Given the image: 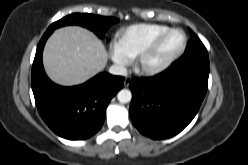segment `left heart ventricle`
Segmentation results:
<instances>
[{"mask_svg": "<svg viewBox=\"0 0 248 165\" xmlns=\"http://www.w3.org/2000/svg\"><path fill=\"white\" fill-rule=\"evenodd\" d=\"M182 43V35L179 32H173L167 35L155 51L150 55L148 62L150 64H156L164 59H166L169 55H171L174 51H176Z\"/></svg>", "mask_w": 248, "mask_h": 165, "instance_id": "left-heart-ventricle-1", "label": "left heart ventricle"}]
</instances>
